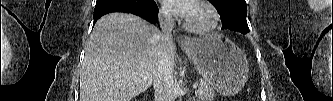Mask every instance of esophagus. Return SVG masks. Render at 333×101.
Here are the masks:
<instances>
[{
  "mask_svg": "<svg viewBox=\"0 0 333 101\" xmlns=\"http://www.w3.org/2000/svg\"><path fill=\"white\" fill-rule=\"evenodd\" d=\"M178 43L182 47H188L191 45V39L187 35H181L178 38Z\"/></svg>",
  "mask_w": 333,
  "mask_h": 101,
  "instance_id": "obj_1",
  "label": "esophagus"
}]
</instances>
